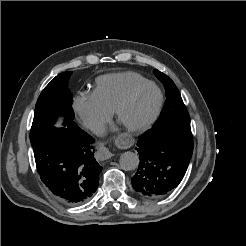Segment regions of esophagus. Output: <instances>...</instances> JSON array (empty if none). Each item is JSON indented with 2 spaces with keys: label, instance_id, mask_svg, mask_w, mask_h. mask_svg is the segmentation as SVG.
Returning <instances> with one entry per match:
<instances>
[{
  "label": "esophagus",
  "instance_id": "obj_1",
  "mask_svg": "<svg viewBox=\"0 0 246 246\" xmlns=\"http://www.w3.org/2000/svg\"><path fill=\"white\" fill-rule=\"evenodd\" d=\"M97 156L100 160H107L110 159L113 154L107 147L100 146L97 151Z\"/></svg>",
  "mask_w": 246,
  "mask_h": 246
}]
</instances>
